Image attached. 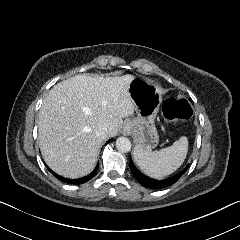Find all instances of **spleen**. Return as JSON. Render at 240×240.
<instances>
[{"instance_id":"spleen-1","label":"spleen","mask_w":240,"mask_h":240,"mask_svg":"<svg viewBox=\"0 0 240 240\" xmlns=\"http://www.w3.org/2000/svg\"><path fill=\"white\" fill-rule=\"evenodd\" d=\"M188 139L180 137L171 146L159 151H143L135 147L133 156L139 168L149 177L162 179L175 172L186 159Z\"/></svg>"}]
</instances>
